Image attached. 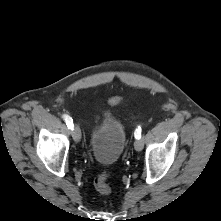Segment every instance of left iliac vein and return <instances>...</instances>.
Here are the masks:
<instances>
[{"label": "left iliac vein", "instance_id": "obj_1", "mask_svg": "<svg viewBox=\"0 0 221 221\" xmlns=\"http://www.w3.org/2000/svg\"><path fill=\"white\" fill-rule=\"evenodd\" d=\"M134 147L137 151H141L143 148V141L142 139H137L134 143Z\"/></svg>", "mask_w": 221, "mask_h": 221}]
</instances>
